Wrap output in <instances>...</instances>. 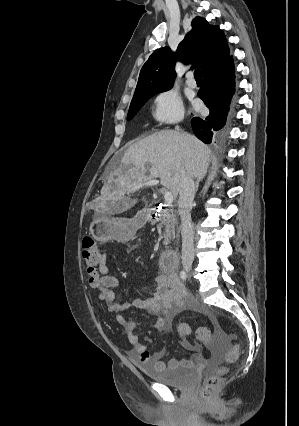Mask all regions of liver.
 Returning <instances> with one entry per match:
<instances>
[{
  "label": "liver",
  "mask_w": 299,
  "mask_h": 426,
  "mask_svg": "<svg viewBox=\"0 0 299 426\" xmlns=\"http://www.w3.org/2000/svg\"><path fill=\"white\" fill-rule=\"evenodd\" d=\"M210 156L209 147L187 133L165 130L147 136L126 149L101 191L99 208L124 211L133 207L137 199L127 195L138 190L140 183L155 178L177 197L182 170L196 178L204 177Z\"/></svg>",
  "instance_id": "liver-1"
}]
</instances>
